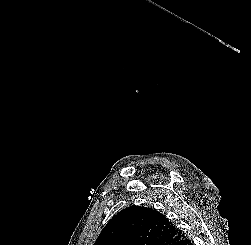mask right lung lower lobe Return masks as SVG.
Here are the masks:
<instances>
[{
	"label": "right lung lower lobe",
	"instance_id": "1",
	"mask_svg": "<svg viewBox=\"0 0 251 245\" xmlns=\"http://www.w3.org/2000/svg\"><path fill=\"white\" fill-rule=\"evenodd\" d=\"M174 245H191V241L184 235V237L177 241Z\"/></svg>",
	"mask_w": 251,
	"mask_h": 245
}]
</instances>
